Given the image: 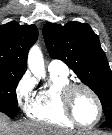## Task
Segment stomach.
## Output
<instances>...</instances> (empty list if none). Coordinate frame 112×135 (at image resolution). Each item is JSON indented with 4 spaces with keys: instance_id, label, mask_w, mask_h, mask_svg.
<instances>
[{
    "instance_id": "obj_1",
    "label": "stomach",
    "mask_w": 112,
    "mask_h": 135,
    "mask_svg": "<svg viewBox=\"0 0 112 135\" xmlns=\"http://www.w3.org/2000/svg\"><path fill=\"white\" fill-rule=\"evenodd\" d=\"M77 135H98L97 133H93V132H80Z\"/></svg>"
}]
</instances>
